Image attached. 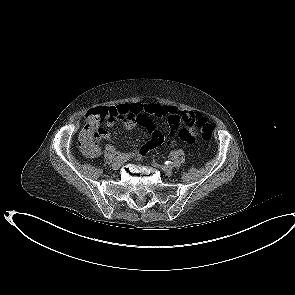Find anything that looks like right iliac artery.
I'll use <instances>...</instances> for the list:
<instances>
[{
	"label": "right iliac artery",
	"mask_w": 295,
	"mask_h": 295,
	"mask_svg": "<svg viewBox=\"0 0 295 295\" xmlns=\"http://www.w3.org/2000/svg\"><path fill=\"white\" fill-rule=\"evenodd\" d=\"M130 157V155H127V154H120V155H118L116 158H115V160L116 161H123V160H126V159H128Z\"/></svg>",
	"instance_id": "1"
}]
</instances>
